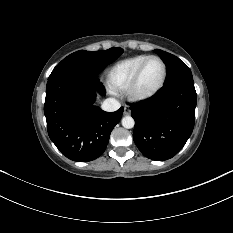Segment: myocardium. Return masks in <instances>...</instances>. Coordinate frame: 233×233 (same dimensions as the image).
I'll use <instances>...</instances> for the list:
<instances>
[{"label": "myocardium", "instance_id": "obj_1", "mask_svg": "<svg viewBox=\"0 0 233 233\" xmlns=\"http://www.w3.org/2000/svg\"><path fill=\"white\" fill-rule=\"evenodd\" d=\"M151 59H157L161 62L162 67H163L162 78H161L159 84L151 91L139 92L138 91L139 80L141 78V75L143 73V70H144L146 64ZM166 78H167V65H166L165 61L160 56L150 55L139 65L138 69L136 70L130 84L128 85V87L126 89L127 96L130 100L135 101V102L148 100V99L154 97L162 89V87L165 84Z\"/></svg>", "mask_w": 233, "mask_h": 233}]
</instances>
